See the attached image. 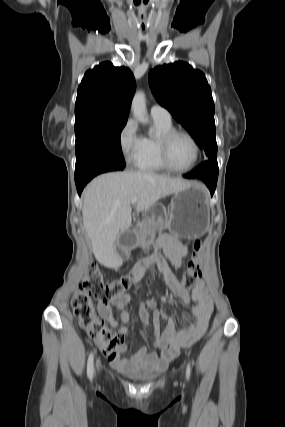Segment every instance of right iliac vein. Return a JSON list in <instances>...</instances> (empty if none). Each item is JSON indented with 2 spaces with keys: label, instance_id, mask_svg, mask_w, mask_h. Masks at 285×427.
Returning a JSON list of instances; mask_svg holds the SVG:
<instances>
[{
  "label": "right iliac vein",
  "instance_id": "1",
  "mask_svg": "<svg viewBox=\"0 0 285 427\" xmlns=\"http://www.w3.org/2000/svg\"><path fill=\"white\" fill-rule=\"evenodd\" d=\"M96 367H97V369L99 368V364L98 363L96 364Z\"/></svg>",
  "mask_w": 285,
  "mask_h": 427
}]
</instances>
